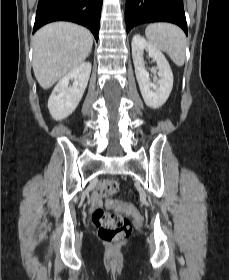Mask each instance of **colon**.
<instances>
[{"label": "colon", "mask_w": 229, "mask_h": 280, "mask_svg": "<svg viewBox=\"0 0 229 280\" xmlns=\"http://www.w3.org/2000/svg\"><path fill=\"white\" fill-rule=\"evenodd\" d=\"M100 187L102 193L106 196L119 191V185L114 180H103ZM128 209L133 215H138L135 208L129 207ZM92 220L98 230L100 239L105 243H118L131 233L130 223L124 216L107 213L103 208L99 207L93 211Z\"/></svg>", "instance_id": "obj_1"}]
</instances>
